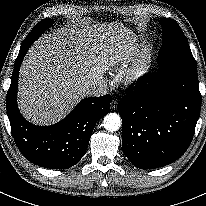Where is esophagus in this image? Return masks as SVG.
Segmentation results:
<instances>
[{"instance_id": "34e87169", "label": "esophagus", "mask_w": 206, "mask_h": 206, "mask_svg": "<svg viewBox=\"0 0 206 206\" xmlns=\"http://www.w3.org/2000/svg\"><path fill=\"white\" fill-rule=\"evenodd\" d=\"M117 105H118V100L113 99L112 102H111V108H112V109H116V108H117Z\"/></svg>"}]
</instances>
